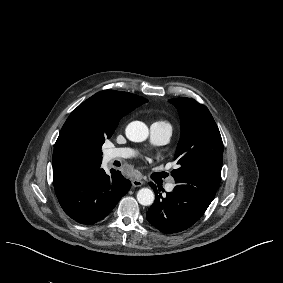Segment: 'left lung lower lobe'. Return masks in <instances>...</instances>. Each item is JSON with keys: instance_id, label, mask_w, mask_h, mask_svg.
Returning a JSON list of instances; mask_svg holds the SVG:
<instances>
[{"instance_id": "0a47b994", "label": "left lung lower lobe", "mask_w": 283, "mask_h": 283, "mask_svg": "<svg viewBox=\"0 0 283 283\" xmlns=\"http://www.w3.org/2000/svg\"><path fill=\"white\" fill-rule=\"evenodd\" d=\"M156 196L154 204L147 212L148 222L163 233H176L191 227L206 211L208 203L178 188L167 192L166 197L159 194L152 182Z\"/></svg>"}]
</instances>
